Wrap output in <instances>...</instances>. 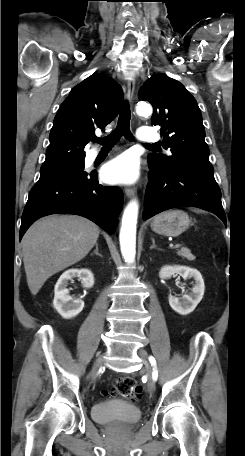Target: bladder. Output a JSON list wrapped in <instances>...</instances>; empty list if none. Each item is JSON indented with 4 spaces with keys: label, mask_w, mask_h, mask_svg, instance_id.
Wrapping results in <instances>:
<instances>
[{
    "label": "bladder",
    "mask_w": 245,
    "mask_h": 456,
    "mask_svg": "<svg viewBox=\"0 0 245 456\" xmlns=\"http://www.w3.org/2000/svg\"><path fill=\"white\" fill-rule=\"evenodd\" d=\"M91 417L102 424H133L140 420L141 410L125 400H106L92 406Z\"/></svg>",
    "instance_id": "31cf9c89"
}]
</instances>
